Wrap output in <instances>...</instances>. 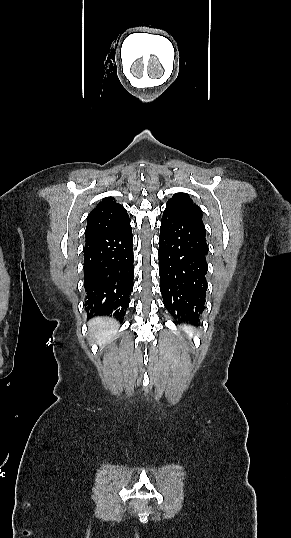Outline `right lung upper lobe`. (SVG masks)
Returning <instances> with one entry per match:
<instances>
[{"label":"right lung upper lobe","mask_w":291,"mask_h":538,"mask_svg":"<svg viewBox=\"0 0 291 538\" xmlns=\"http://www.w3.org/2000/svg\"><path fill=\"white\" fill-rule=\"evenodd\" d=\"M129 220L126 209L113 197H106L90 212L85 237L115 229Z\"/></svg>","instance_id":"obj_1"}]
</instances>
